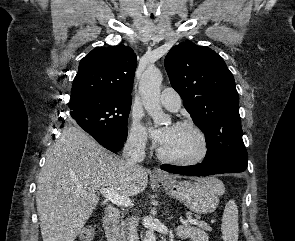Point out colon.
Listing matches in <instances>:
<instances>
[{
  "instance_id": "obj_1",
  "label": "colon",
  "mask_w": 295,
  "mask_h": 241,
  "mask_svg": "<svg viewBox=\"0 0 295 241\" xmlns=\"http://www.w3.org/2000/svg\"><path fill=\"white\" fill-rule=\"evenodd\" d=\"M94 238V227L88 225L84 227L80 232V240L81 241H92Z\"/></svg>"
}]
</instances>
